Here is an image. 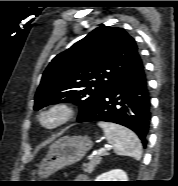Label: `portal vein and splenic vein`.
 Returning <instances> with one entry per match:
<instances>
[{"instance_id": "18ae733b", "label": "portal vein and splenic vein", "mask_w": 178, "mask_h": 186, "mask_svg": "<svg viewBox=\"0 0 178 186\" xmlns=\"http://www.w3.org/2000/svg\"><path fill=\"white\" fill-rule=\"evenodd\" d=\"M110 148V146L109 145H107V146H105V147H103V148H100L99 150H98V155H103L108 149ZM92 158V157H91Z\"/></svg>"}]
</instances>
